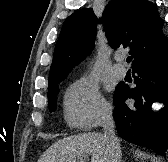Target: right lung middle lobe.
Returning a JSON list of instances; mask_svg holds the SVG:
<instances>
[{
    "label": "right lung middle lobe",
    "mask_w": 168,
    "mask_h": 162,
    "mask_svg": "<svg viewBox=\"0 0 168 162\" xmlns=\"http://www.w3.org/2000/svg\"><path fill=\"white\" fill-rule=\"evenodd\" d=\"M63 81H57L48 86V105L50 112H54L56 110V101H57V95L59 93V86L58 84Z\"/></svg>",
    "instance_id": "obj_1"
}]
</instances>
